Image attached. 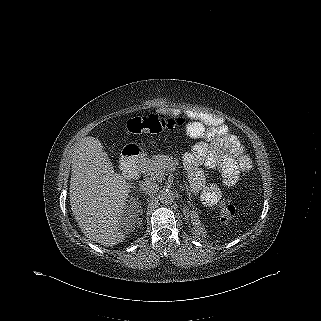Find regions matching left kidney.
<instances>
[{
	"label": "left kidney",
	"mask_w": 321,
	"mask_h": 321,
	"mask_svg": "<svg viewBox=\"0 0 321 321\" xmlns=\"http://www.w3.org/2000/svg\"><path fill=\"white\" fill-rule=\"evenodd\" d=\"M191 219H192L191 222L195 226V228L197 229L198 233L203 234L202 236H205L204 235L206 233V232H204L205 228L201 227L200 220H199L198 216L191 213Z\"/></svg>",
	"instance_id": "5707ae66"
}]
</instances>
